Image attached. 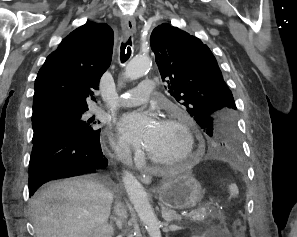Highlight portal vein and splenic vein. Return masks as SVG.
Returning <instances> with one entry per match:
<instances>
[{
	"label": "portal vein and splenic vein",
	"instance_id": "1",
	"mask_svg": "<svg viewBox=\"0 0 297 237\" xmlns=\"http://www.w3.org/2000/svg\"><path fill=\"white\" fill-rule=\"evenodd\" d=\"M192 213H193V211H192V212H190V213H188V214H186V216H187V217H189V216H191V215H192Z\"/></svg>",
	"mask_w": 297,
	"mask_h": 237
}]
</instances>
